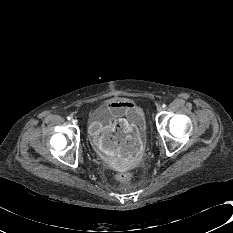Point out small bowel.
<instances>
[{
	"mask_svg": "<svg viewBox=\"0 0 233 233\" xmlns=\"http://www.w3.org/2000/svg\"><path fill=\"white\" fill-rule=\"evenodd\" d=\"M108 107L116 114H126L131 120H136L142 114L141 108L128 99L111 100ZM91 134L98 147L118 161H133L142 154V141L133 131L110 129L103 133L100 124L95 123L91 127Z\"/></svg>",
	"mask_w": 233,
	"mask_h": 233,
	"instance_id": "1",
	"label": "small bowel"
}]
</instances>
